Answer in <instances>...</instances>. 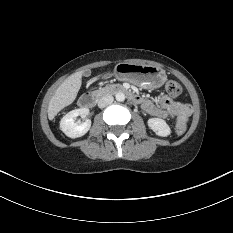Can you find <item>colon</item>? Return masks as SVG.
<instances>
[{
  "mask_svg": "<svg viewBox=\"0 0 233 233\" xmlns=\"http://www.w3.org/2000/svg\"><path fill=\"white\" fill-rule=\"evenodd\" d=\"M166 92L170 97L176 98L182 95L183 88L181 84L175 80H169L166 83ZM186 128L184 127H176L177 134H183Z\"/></svg>",
  "mask_w": 233,
  "mask_h": 233,
  "instance_id": "1",
  "label": "colon"
}]
</instances>
